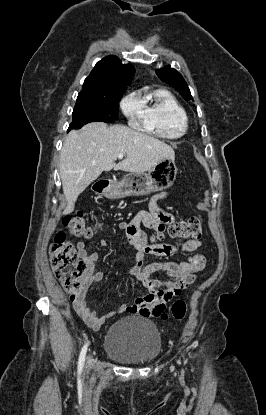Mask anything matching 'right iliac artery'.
Returning <instances> with one entry per match:
<instances>
[{
    "label": "right iliac artery",
    "mask_w": 266,
    "mask_h": 415,
    "mask_svg": "<svg viewBox=\"0 0 266 415\" xmlns=\"http://www.w3.org/2000/svg\"><path fill=\"white\" fill-rule=\"evenodd\" d=\"M88 348V343H86L80 353L79 360H78V373L80 374L82 372V369L84 367L85 362V356Z\"/></svg>",
    "instance_id": "82829eb1"
}]
</instances>
